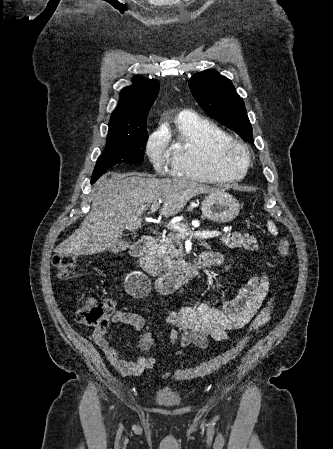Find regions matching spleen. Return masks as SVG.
Here are the masks:
<instances>
[{
	"label": "spleen",
	"instance_id": "1",
	"mask_svg": "<svg viewBox=\"0 0 333 449\" xmlns=\"http://www.w3.org/2000/svg\"><path fill=\"white\" fill-rule=\"evenodd\" d=\"M268 228H269L270 232H272V234H276L277 233V228H276L275 224L271 220L268 221Z\"/></svg>",
	"mask_w": 333,
	"mask_h": 449
}]
</instances>
